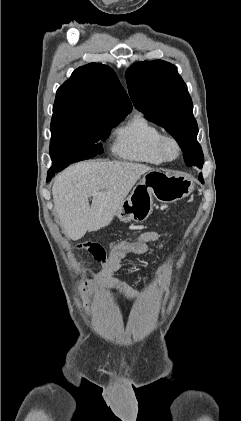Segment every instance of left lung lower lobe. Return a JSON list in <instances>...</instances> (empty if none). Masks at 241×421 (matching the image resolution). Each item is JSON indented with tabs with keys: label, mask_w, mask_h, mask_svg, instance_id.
<instances>
[{
	"label": "left lung lower lobe",
	"mask_w": 241,
	"mask_h": 421,
	"mask_svg": "<svg viewBox=\"0 0 241 421\" xmlns=\"http://www.w3.org/2000/svg\"><path fill=\"white\" fill-rule=\"evenodd\" d=\"M186 165H187V166H193V165L188 164V163H186ZM199 179H200V181H201V182H203V178H202V174H201V173H200V175H199Z\"/></svg>",
	"instance_id": "0a47b994"
}]
</instances>
